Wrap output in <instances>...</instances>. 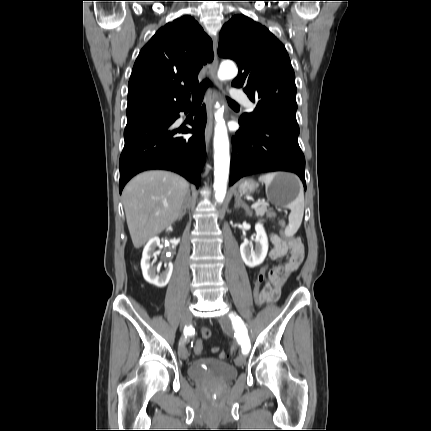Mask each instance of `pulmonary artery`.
Here are the masks:
<instances>
[{"mask_svg":"<svg viewBox=\"0 0 431 431\" xmlns=\"http://www.w3.org/2000/svg\"><path fill=\"white\" fill-rule=\"evenodd\" d=\"M230 94L235 101L244 104L249 110L254 108L253 103L248 99V97L239 89L232 88Z\"/></svg>","mask_w":431,"mask_h":431,"instance_id":"pulmonary-artery-1","label":"pulmonary artery"}]
</instances>
